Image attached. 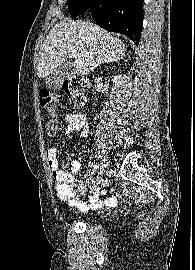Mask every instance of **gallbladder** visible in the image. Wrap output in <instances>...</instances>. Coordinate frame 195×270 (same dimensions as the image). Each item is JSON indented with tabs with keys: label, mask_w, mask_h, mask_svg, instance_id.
Here are the masks:
<instances>
[{
	"label": "gallbladder",
	"mask_w": 195,
	"mask_h": 270,
	"mask_svg": "<svg viewBox=\"0 0 195 270\" xmlns=\"http://www.w3.org/2000/svg\"><path fill=\"white\" fill-rule=\"evenodd\" d=\"M72 75L71 64L63 63L58 66L51 75H49L45 83L49 89L57 90L61 84Z\"/></svg>",
	"instance_id": "1"
}]
</instances>
